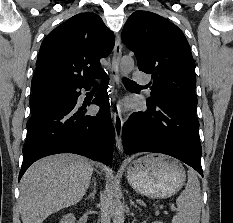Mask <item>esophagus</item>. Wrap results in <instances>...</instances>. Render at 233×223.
Listing matches in <instances>:
<instances>
[{
	"mask_svg": "<svg viewBox=\"0 0 233 223\" xmlns=\"http://www.w3.org/2000/svg\"><path fill=\"white\" fill-rule=\"evenodd\" d=\"M121 56H122L121 38L120 35H117L115 40L114 53H113V64L110 70V76L117 86H119V82H120L119 62ZM113 107H114L113 121H114V129H115L116 146L118 148L119 153L122 154L123 153V147H122L123 118L120 111V103L117 98L113 100Z\"/></svg>",
	"mask_w": 233,
	"mask_h": 223,
	"instance_id": "34e87169",
	"label": "esophagus"
}]
</instances>
